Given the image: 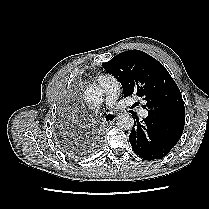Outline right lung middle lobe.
Instances as JSON below:
<instances>
[{
  "mask_svg": "<svg viewBox=\"0 0 209 209\" xmlns=\"http://www.w3.org/2000/svg\"><path fill=\"white\" fill-rule=\"evenodd\" d=\"M69 148H70V147H67V146L65 147V149H66L67 151H69V153L72 154L74 151L72 152V148H70V149H69Z\"/></svg>",
  "mask_w": 209,
  "mask_h": 209,
  "instance_id": "1",
  "label": "right lung middle lobe"
}]
</instances>
